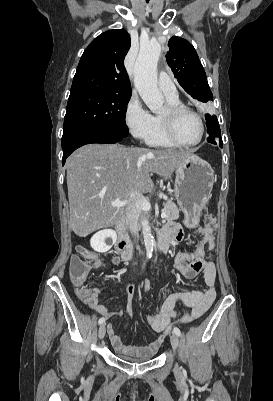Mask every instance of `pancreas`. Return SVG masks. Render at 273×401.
<instances>
[{"mask_svg": "<svg viewBox=\"0 0 273 401\" xmlns=\"http://www.w3.org/2000/svg\"><path fill=\"white\" fill-rule=\"evenodd\" d=\"M164 209H165V219L166 221H169V223H173L175 219H179V209L176 207L175 203L173 201H167V203H164Z\"/></svg>", "mask_w": 273, "mask_h": 401, "instance_id": "pancreas-1", "label": "pancreas"}]
</instances>
